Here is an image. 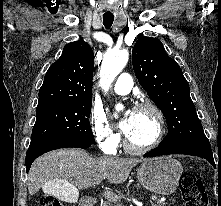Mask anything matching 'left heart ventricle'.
Returning a JSON list of instances; mask_svg holds the SVG:
<instances>
[{
  "label": "left heart ventricle",
  "mask_w": 221,
  "mask_h": 206,
  "mask_svg": "<svg viewBox=\"0 0 221 206\" xmlns=\"http://www.w3.org/2000/svg\"><path fill=\"white\" fill-rule=\"evenodd\" d=\"M156 133V119L149 110L134 111L131 128L126 135L134 146H143L149 143Z\"/></svg>",
  "instance_id": "obj_1"
}]
</instances>
